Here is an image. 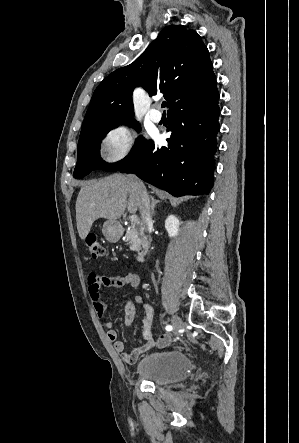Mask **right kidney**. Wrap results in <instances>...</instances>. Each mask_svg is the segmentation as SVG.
Masks as SVG:
<instances>
[{"mask_svg":"<svg viewBox=\"0 0 299 443\" xmlns=\"http://www.w3.org/2000/svg\"><path fill=\"white\" fill-rule=\"evenodd\" d=\"M180 222L178 218L174 215H170L165 220V228L168 232L169 237H175L179 232Z\"/></svg>","mask_w":299,"mask_h":443,"instance_id":"1","label":"right kidney"}]
</instances>
